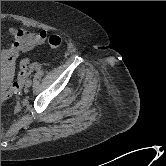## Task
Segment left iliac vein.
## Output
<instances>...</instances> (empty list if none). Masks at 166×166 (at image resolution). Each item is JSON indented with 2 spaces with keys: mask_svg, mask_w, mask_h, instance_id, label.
<instances>
[{
  "mask_svg": "<svg viewBox=\"0 0 166 166\" xmlns=\"http://www.w3.org/2000/svg\"><path fill=\"white\" fill-rule=\"evenodd\" d=\"M32 85V80L31 79H27L26 82H25V86L26 87H31Z\"/></svg>",
  "mask_w": 166,
  "mask_h": 166,
  "instance_id": "left-iliac-vein-1",
  "label": "left iliac vein"
}]
</instances>
